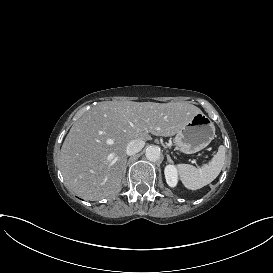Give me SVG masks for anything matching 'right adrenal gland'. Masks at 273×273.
<instances>
[{
	"mask_svg": "<svg viewBox=\"0 0 273 273\" xmlns=\"http://www.w3.org/2000/svg\"><path fill=\"white\" fill-rule=\"evenodd\" d=\"M127 158H128V157H126V161H127ZM125 169H126V162L124 163V170H125Z\"/></svg>",
	"mask_w": 273,
	"mask_h": 273,
	"instance_id": "right-adrenal-gland-1",
	"label": "right adrenal gland"
}]
</instances>
